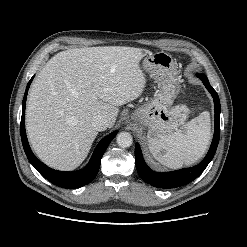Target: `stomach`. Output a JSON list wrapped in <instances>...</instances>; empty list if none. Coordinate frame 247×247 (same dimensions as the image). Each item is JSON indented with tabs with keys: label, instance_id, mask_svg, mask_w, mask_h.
Listing matches in <instances>:
<instances>
[{
	"label": "stomach",
	"instance_id": "1",
	"mask_svg": "<svg viewBox=\"0 0 247 247\" xmlns=\"http://www.w3.org/2000/svg\"><path fill=\"white\" fill-rule=\"evenodd\" d=\"M143 67L156 79L159 90L153 99L132 113L131 120L142 131L148 128L147 138L170 134L184 124L188 112L185 106H173L180 90L174 60L165 52H157L144 59Z\"/></svg>",
	"mask_w": 247,
	"mask_h": 247
}]
</instances>
